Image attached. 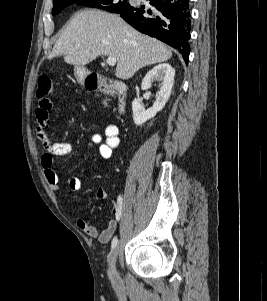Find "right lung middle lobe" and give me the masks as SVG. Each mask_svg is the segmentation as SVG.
Listing matches in <instances>:
<instances>
[{"instance_id": "1", "label": "right lung middle lobe", "mask_w": 267, "mask_h": 301, "mask_svg": "<svg viewBox=\"0 0 267 301\" xmlns=\"http://www.w3.org/2000/svg\"><path fill=\"white\" fill-rule=\"evenodd\" d=\"M74 3L86 7L103 9L112 13H120L131 7L128 0H53L52 14L56 15L62 9Z\"/></svg>"}]
</instances>
